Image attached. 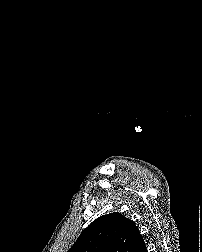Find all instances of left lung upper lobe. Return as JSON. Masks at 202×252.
I'll use <instances>...</instances> for the list:
<instances>
[{"label":"left lung upper lobe","instance_id":"left-lung-upper-lobe-1","mask_svg":"<svg viewBox=\"0 0 202 252\" xmlns=\"http://www.w3.org/2000/svg\"><path fill=\"white\" fill-rule=\"evenodd\" d=\"M139 236L133 221L113 212L93 221L67 252H135Z\"/></svg>","mask_w":202,"mask_h":252}]
</instances>
